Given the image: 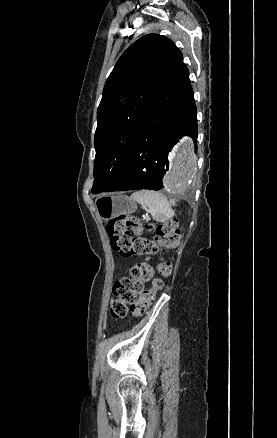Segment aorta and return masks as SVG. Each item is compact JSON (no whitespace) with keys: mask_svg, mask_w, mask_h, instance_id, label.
I'll list each match as a JSON object with an SVG mask.
<instances>
[{"mask_svg":"<svg viewBox=\"0 0 277 438\" xmlns=\"http://www.w3.org/2000/svg\"><path fill=\"white\" fill-rule=\"evenodd\" d=\"M197 173V156L194 154L192 141L181 140L171 155L170 172L165 177V187L173 194L187 192Z\"/></svg>","mask_w":277,"mask_h":438,"instance_id":"obj_1","label":"aorta"}]
</instances>
